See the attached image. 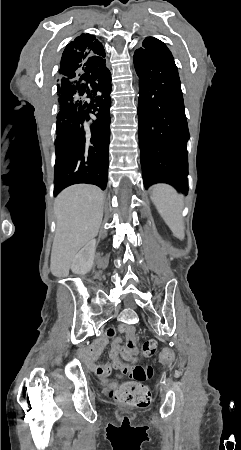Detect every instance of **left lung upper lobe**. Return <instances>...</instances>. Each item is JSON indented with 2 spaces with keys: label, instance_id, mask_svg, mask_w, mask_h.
Wrapping results in <instances>:
<instances>
[{
  "label": "left lung upper lobe",
  "instance_id": "obj_1",
  "mask_svg": "<svg viewBox=\"0 0 241 450\" xmlns=\"http://www.w3.org/2000/svg\"><path fill=\"white\" fill-rule=\"evenodd\" d=\"M164 45H165V44H164L162 41H160V40H158V39H156V38H154V37H147V38L143 41L142 47L139 48V49H152V50H157V49L163 47Z\"/></svg>",
  "mask_w": 241,
  "mask_h": 450
}]
</instances>
